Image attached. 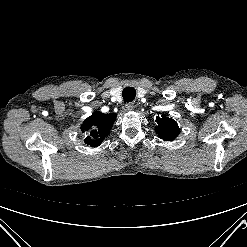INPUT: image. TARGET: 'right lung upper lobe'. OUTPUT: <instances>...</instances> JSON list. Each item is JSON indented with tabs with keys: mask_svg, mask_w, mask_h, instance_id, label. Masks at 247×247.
Wrapping results in <instances>:
<instances>
[{
	"mask_svg": "<svg viewBox=\"0 0 247 247\" xmlns=\"http://www.w3.org/2000/svg\"><path fill=\"white\" fill-rule=\"evenodd\" d=\"M116 119V114H103L101 112H94L88 117L81 127L82 132H88L85 138V143L91 147L99 146L103 139L108 136L111 127Z\"/></svg>",
	"mask_w": 247,
	"mask_h": 247,
	"instance_id": "1",
	"label": "right lung upper lobe"
}]
</instances>
